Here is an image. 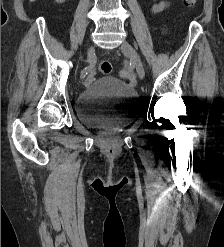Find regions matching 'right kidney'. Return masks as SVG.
<instances>
[{
  "instance_id": "obj_1",
  "label": "right kidney",
  "mask_w": 224,
  "mask_h": 247,
  "mask_svg": "<svg viewBox=\"0 0 224 247\" xmlns=\"http://www.w3.org/2000/svg\"><path fill=\"white\" fill-rule=\"evenodd\" d=\"M56 2H58V4H62V2H65V0H56Z\"/></svg>"
}]
</instances>
